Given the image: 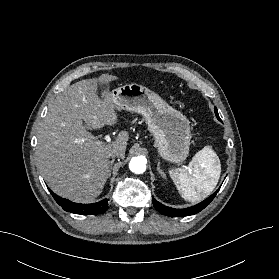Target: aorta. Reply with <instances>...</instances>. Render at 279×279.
<instances>
[{"instance_id":"aorta-1","label":"aorta","mask_w":279,"mask_h":279,"mask_svg":"<svg viewBox=\"0 0 279 279\" xmlns=\"http://www.w3.org/2000/svg\"><path fill=\"white\" fill-rule=\"evenodd\" d=\"M129 169L136 174H142L146 170V163L142 157H134L129 163Z\"/></svg>"}]
</instances>
